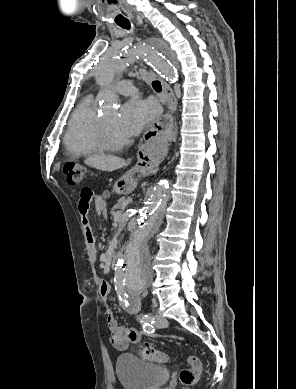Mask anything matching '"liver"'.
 Masks as SVG:
<instances>
[{"mask_svg": "<svg viewBox=\"0 0 296 389\" xmlns=\"http://www.w3.org/2000/svg\"><path fill=\"white\" fill-rule=\"evenodd\" d=\"M84 163L95 169L106 172H112L127 165L126 161L122 158L102 154L92 155L88 157Z\"/></svg>", "mask_w": 296, "mask_h": 389, "instance_id": "obj_1", "label": "liver"}]
</instances>
